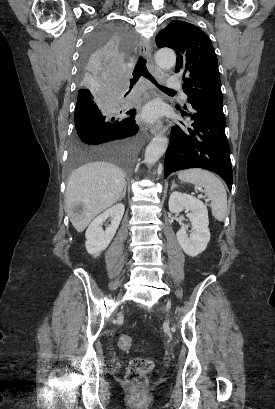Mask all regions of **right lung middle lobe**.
<instances>
[{
	"label": "right lung middle lobe",
	"mask_w": 275,
	"mask_h": 409,
	"mask_svg": "<svg viewBox=\"0 0 275 409\" xmlns=\"http://www.w3.org/2000/svg\"><path fill=\"white\" fill-rule=\"evenodd\" d=\"M136 44L122 24H98L85 42L84 57H79L78 100L74 114V130L69 146L64 176L72 178L76 167L112 162L128 174L136 166L142 145L127 96H114L112 91H125L127 51ZM131 115V116H130Z\"/></svg>",
	"instance_id": "right-lung-middle-lobe-1"
}]
</instances>
